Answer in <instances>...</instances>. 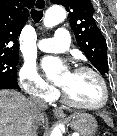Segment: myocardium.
<instances>
[{
	"instance_id": "1",
	"label": "myocardium",
	"mask_w": 117,
	"mask_h": 136,
	"mask_svg": "<svg viewBox=\"0 0 117 136\" xmlns=\"http://www.w3.org/2000/svg\"><path fill=\"white\" fill-rule=\"evenodd\" d=\"M74 72H89L93 74L97 80L100 83L101 89H102V99L99 103L97 104H83L74 101L67 93L65 90L62 91V97L63 100L70 106L75 107L77 109H82V110H98L106 106L109 100V89L108 85L102 76V74L96 70L95 68H92L90 66H78L75 68Z\"/></svg>"
}]
</instances>
